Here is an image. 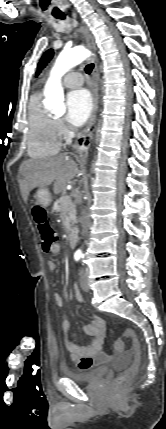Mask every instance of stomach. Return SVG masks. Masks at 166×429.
Wrapping results in <instances>:
<instances>
[{"mask_svg": "<svg viewBox=\"0 0 166 429\" xmlns=\"http://www.w3.org/2000/svg\"><path fill=\"white\" fill-rule=\"evenodd\" d=\"M35 200L37 204L46 208L51 204V201H52L51 193L47 188H39L35 194Z\"/></svg>", "mask_w": 166, "mask_h": 429, "instance_id": "obj_1", "label": "stomach"}]
</instances>
